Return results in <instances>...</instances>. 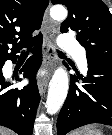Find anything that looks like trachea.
I'll use <instances>...</instances> for the list:
<instances>
[{
	"mask_svg": "<svg viewBox=\"0 0 112 135\" xmlns=\"http://www.w3.org/2000/svg\"><path fill=\"white\" fill-rule=\"evenodd\" d=\"M29 52L28 51H23L21 54L22 55H27ZM59 54H62V52L58 51Z\"/></svg>",
	"mask_w": 112,
	"mask_h": 135,
	"instance_id": "trachea-1",
	"label": "trachea"
}]
</instances>
